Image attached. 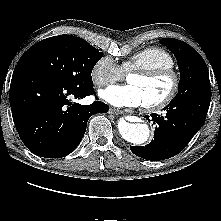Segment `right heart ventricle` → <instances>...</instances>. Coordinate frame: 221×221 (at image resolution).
I'll list each match as a JSON object with an SVG mask.
<instances>
[{
	"instance_id": "e07e8e85",
	"label": "right heart ventricle",
	"mask_w": 221,
	"mask_h": 221,
	"mask_svg": "<svg viewBox=\"0 0 221 221\" xmlns=\"http://www.w3.org/2000/svg\"><path fill=\"white\" fill-rule=\"evenodd\" d=\"M175 61L172 55L160 47L142 49L125 60L121 69L130 72L135 69L174 68Z\"/></svg>"
}]
</instances>
